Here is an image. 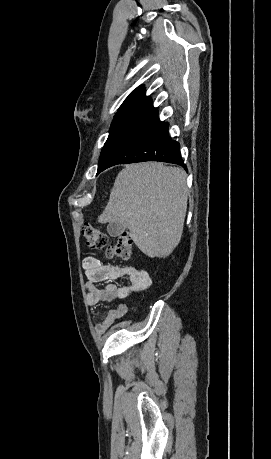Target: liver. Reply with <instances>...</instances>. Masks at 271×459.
<instances>
[{"label":"liver","mask_w":271,"mask_h":459,"mask_svg":"<svg viewBox=\"0 0 271 459\" xmlns=\"http://www.w3.org/2000/svg\"><path fill=\"white\" fill-rule=\"evenodd\" d=\"M186 174L161 162L130 164L119 172L99 224L130 231L149 257H167L178 245L187 210Z\"/></svg>","instance_id":"obj_1"}]
</instances>
